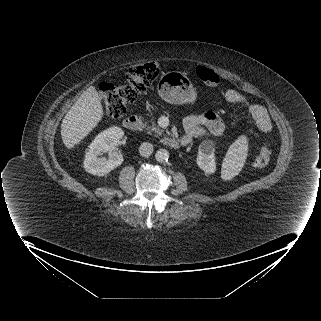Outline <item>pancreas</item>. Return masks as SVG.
Listing matches in <instances>:
<instances>
[{
	"instance_id": "1",
	"label": "pancreas",
	"mask_w": 321,
	"mask_h": 321,
	"mask_svg": "<svg viewBox=\"0 0 321 321\" xmlns=\"http://www.w3.org/2000/svg\"><path fill=\"white\" fill-rule=\"evenodd\" d=\"M146 124H147L146 130L148 131L149 134L151 132H154V133H157V134H160V135L163 133V130L159 126H157L154 123V121L152 122V125L148 124L147 122H146Z\"/></svg>"
}]
</instances>
